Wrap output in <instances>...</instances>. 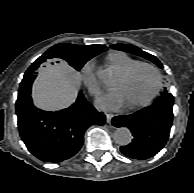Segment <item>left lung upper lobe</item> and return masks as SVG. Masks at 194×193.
<instances>
[{
	"label": "left lung upper lobe",
	"mask_w": 194,
	"mask_h": 193,
	"mask_svg": "<svg viewBox=\"0 0 194 193\" xmlns=\"http://www.w3.org/2000/svg\"><path fill=\"white\" fill-rule=\"evenodd\" d=\"M111 47L116 50H122L124 52L132 53V54L141 56L143 58H146L151 62H153L154 64H156L159 68H162L161 62L155 56L142 51L140 48L136 46L129 45V44H114V45H111ZM166 93L167 91L165 90L163 94H166Z\"/></svg>",
	"instance_id": "obj_1"
}]
</instances>
